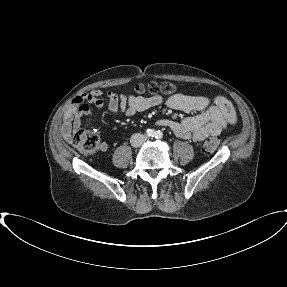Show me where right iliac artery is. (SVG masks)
<instances>
[{
    "mask_svg": "<svg viewBox=\"0 0 287 287\" xmlns=\"http://www.w3.org/2000/svg\"><path fill=\"white\" fill-rule=\"evenodd\" d=\"M145 134H146L147 137L152 138V137H154L156 135V131L153 130V129H147Z\"/></svg>",
    "mask_w": 287,
    "mask_h": 287,
    "instance_id": "obj_1",
    "label": "right iliac artery"
}]
</instances>
